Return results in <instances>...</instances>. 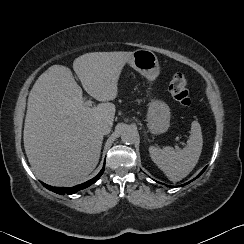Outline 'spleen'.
<instances>
[{
  "mask_svg": "<svg viewBox=\"0 0 244 244\" xmlns=\"http://www.w3.org/2000/svg\"><path fill=\"white\" fill-rule=\"evenodd\" d=\"M202 146L201 126L197 121H193L187 145L182 150L177 151L169 146L162 149L150 146L149 154L169 180L178 182L194 169L201 155Z\"/></svg>",
  "mask_w": 244,
  "mask_h": 244,
  "instance_id": "obj_1",
  "label": "spleen"
}]
</instances>
